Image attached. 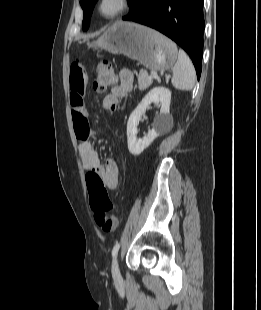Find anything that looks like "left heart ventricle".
I'll use <instances>...</instances> for the list:
<instances>
[{
  "label": "left heart ventricle",
  "instance_id": "1",
  "mask_svg": "<svg viewBox=\"0 0 261 310\" xmlns=\"http://www.w3.org/2000/svg\"><path fill=\"white\" fill-rule=\"evenodd\" d=\"M116 7V4L113 0H109L103 6L105 12H111Z\"/></svg>",
  "mask_w": 261,
  "mask_h": 310
}]
</instances>
